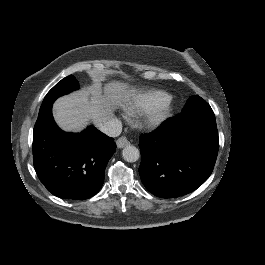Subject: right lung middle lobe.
<instances>
[{
  "mask_svg": "<svg viewBox=\"0 0 265 265\" xmlns=\"http://www.w3.org/2000/svg\"><path fill=\"white\" fill-rule=\"evenodd\" d=\"M79 88V83L73 75L67 76L59 81L45 96L39 113L44 112L52 106L53 102L60 96L68 94Z\"/></svg>",
  "mask_w": 265,
  "mask_h": 265,
  "instance_id": "obj_1",
  "label": "right lung middle lobe"
}]
</instances>
